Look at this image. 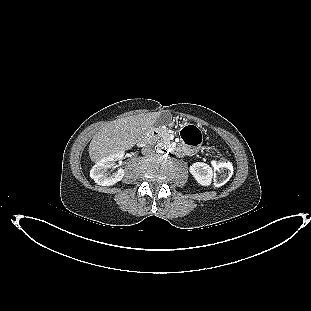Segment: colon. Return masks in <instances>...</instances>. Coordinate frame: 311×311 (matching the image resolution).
<instances>
[{
	"instance_id": "colon-1",
	"label": "colon",
	"mask_w": 311,
	"mask_h": 311,
	"mask_svg": "<svg viewBox=\"0 0 311 311\" xmlns=\"http://www.w3.org/2000/svg\"><path fill=\"white\" fill-rule=\"evenodd\" d=\"M182 137L190 145H196L200 142L199 132H195L192 127L186 126L182 129ZM214 183L216 185L224 184L232 174V164L225 158H219L213 161Z\"/></svg>"
}]
</instances>
